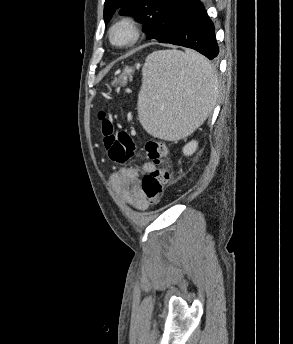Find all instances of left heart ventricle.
Masks as SVG:
<instances>
[{
	"instance_id": "obj_1",
	"label": "left heart ventricle",
	"mask_w": 293,
	"mask_h": 344,
	"mask_svg": "<svg viewBox=\"0 0 293 344\" xmlns=\"http://www.w3.org/2000/svg\"><path fill=\"white\" fill-rule=\"evenodd\" d=\"M128 37H129V34L124 29H120L115 33V40L117 42H123V41L127 40Z\"/></svg>"
}]
</instances>
